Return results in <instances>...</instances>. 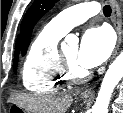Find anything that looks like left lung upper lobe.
<instances>
[{
    "label": "left lung upper lobe",
    "mask_w": 123,
    "mask_h": 113,
    "mask_svg": "<svg viewBox=\"0 0 123 113\" xmlns=\"http://www.w3.org/2000/svg\"><path fill=\"white\" fill-rule=\"evenodd\" d=\"M58 0H35L26 12L21 23V52L24 55L30 43L33 27Z\"/></svg>",
    "instance_id": "5c2ea615"
}]
</instances>
